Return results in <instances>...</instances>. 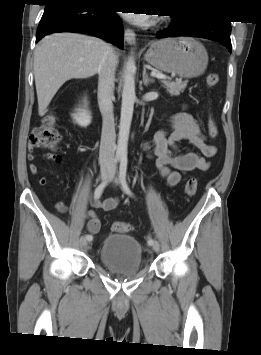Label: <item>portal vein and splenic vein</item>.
Here are the masks:
<instances>
[{"mask_svg":"<svg viewBox=\"0 0 261 355\" xmlns=\"http://www.w3.org/2000/svg\"><path fill=\"white\" fill-rule=\"evenodd\" d=\"M151 75H152L153 77H156V78L167 79V76H166V75L157 73V72H155V71L151 72Z\"/></svg>","mask_w":261,"mask_h":355,"instance_id":"portal-vein-and-splenic-vein-1","label":"portal vein and splenic vein"}]
</instances>
